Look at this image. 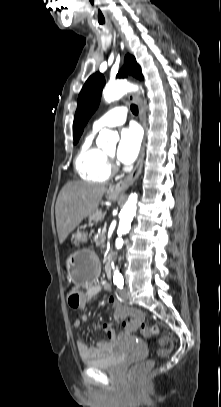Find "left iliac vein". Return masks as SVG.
Returning <instances> with one entry per match:
<instances>
[{"label": "left iliac vein", "instance_id": "4c4485c4", "mask_svg": "<svg viewBox=\"0 0 221 407\" xmlns=\"http://www.w3.org/2000/svg\"><path fill=\"white\" fill-rule=\"evenodd\" d=\"M120 297L123 301H127L129 299V292L127 288H122L120 291Z\"/></svg>", "mask_w": 221, "mask_h": 407}]
</instances>
